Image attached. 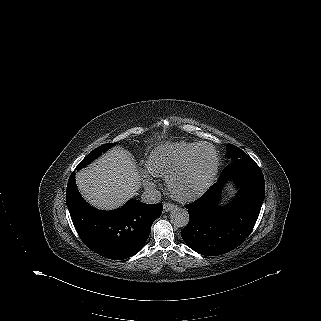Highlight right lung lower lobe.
Masks as SVG:
<instances>
[{"label":"right lung lower lobe","instance_id":"obj_1","mask_svg":"<svg viewBox=\"0 0 321 321\" xmlns=\"http://www.w3.org/2000/svg\"><path fill=\"white\" fill-rule=\"evenodd\" d=\"M66 202L74 227L84 244L108 259L123 260L138 253L145 245L152 223L161 216V204L130 200L113 211L91 207L76 188L71 174Z\"/></svg>","mask_w":321,"mask_h":321}]
</instances>
